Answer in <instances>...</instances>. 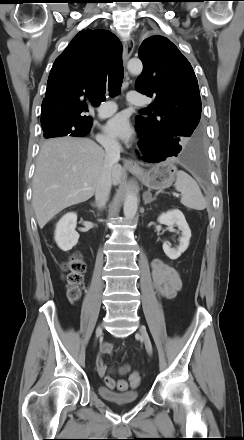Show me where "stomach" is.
<instances>
[{
	"label": "stomach",
	"instance_id": "stomach-1",
	"mask_svg": "<svg viewBox=\"0 0 244 440\" xmlns=\"http://www.w3.org/2000/svg\"><path fill=\"white\" fill-rule=\"evenodd\" d=\"M129 171L139 177L146 187L154 190L169 188L177 174V168L171 161L157 163L148 170L129 169Z\"/></svg>",
	"mask_w": 244,
	"mask_h": 440
}]
</instances>
